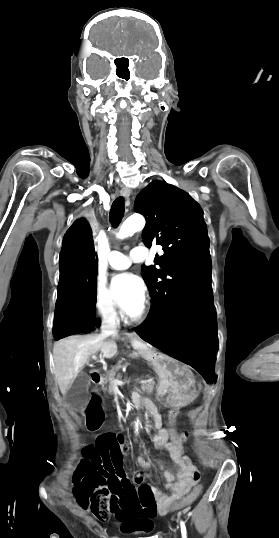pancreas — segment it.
<instances>
[{"label":"pancreas","mask_w":279,"mask_h":538,"mask_svg":"<svg viewBox=\"0 0 279 538\" xmlns=\"http://www.w3.org/2000/svg\"><path fill=\"white\" fill-rule=\"evenodd\" d=\"M114 376L115 374H110V376H108V380H106V382H109L108 388H103L108 394H114ZM119 378L120 376H118L117 380H119ZM153 384L154 381L143 379L140 383V387H137V392H141V396L147 397L150 392H155Z\"/></svg>","instance_id":"pancreas-1"}]
</instances>
